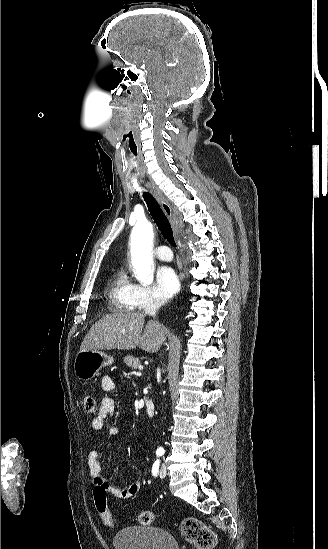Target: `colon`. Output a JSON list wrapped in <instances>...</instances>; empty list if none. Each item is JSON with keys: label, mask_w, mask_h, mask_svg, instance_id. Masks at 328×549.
Here are the masks:
<instances>
[{"label": "colon", "mask_w": 328, "mask_h": 549, "mask_svg": "<svg viewBox=\"0 0 328 549\" xmlns=\"http://www.w3.org/2000/svg\"><path fill=\"white\" fill-rule=\"evenodd\" d=\"M83 408L87 414L95 413L97 402L91 395L83 399ZM107 490L103 484H95L94 501L98 515L106 526L112 527L115 522L107 506ZM155 521V515L150 510H143L138 515V522L142 526H150ZM181 535L197 549H212L215 547L217 539L215 533L202 521L196 518H186L181 523Z\"/></svg>", "instance_id": "obj_1"}]
</instances>
